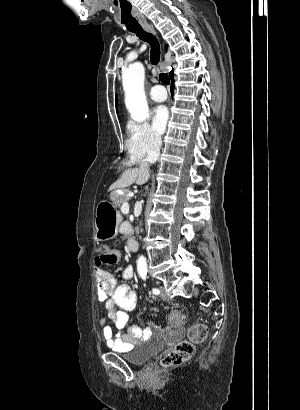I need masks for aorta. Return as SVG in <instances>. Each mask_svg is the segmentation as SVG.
Returning a JSON list of instances; mask_svg holds the SVG:
<instances>
[{"mask_svg":"<svg viewBox=\"0 0 300 410\" xmlns=\"http://www.w3.org/2000/svg\"><path fill=\"white\" fill-rule=\"evenodd\" d=\"M145 69L142 63L131 64L122 73L125 92V104L133 120L143 122L149 117V108L144 91ZM137 269L147 271L146 258L141 255L137 260Z\"/></svg>","mask_w":300,"mask_h":410,"instance_id":"762f6f07","label":"aorta"}]
</instances>
